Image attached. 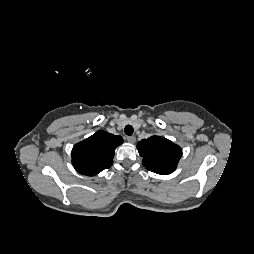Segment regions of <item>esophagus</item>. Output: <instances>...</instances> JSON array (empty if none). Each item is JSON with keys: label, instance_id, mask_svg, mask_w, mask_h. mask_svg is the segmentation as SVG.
<instances>
[{"label": "esophagus", "instance_id": "34e87169", "mask_svg": "<svg viewBox=\"0 0 254 254\" xmlns=\"http://www.w3.org/2000/svg\"><path fill=\"white\" fill-rule=\"evenodd\" d=\"M126 139L129 143H134L136 141L135 136H127Z\"/></svg>", "mask_w": 254, "mask_h": 254}]
</instances>
